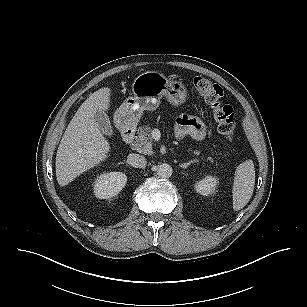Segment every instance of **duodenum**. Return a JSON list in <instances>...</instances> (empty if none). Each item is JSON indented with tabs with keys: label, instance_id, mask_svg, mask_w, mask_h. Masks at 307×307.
Here are the masks:
<instances>
[{
	"label": "duodenum",
	"instance_id": "obj_1",
	"mask_svg": "<svg viewBox=\"0 0 307 307\" xmlns=\"http://www.w3.org/2000/svg\"><path fill=\"white\" fill-rule=\"evenodd\" d=\"M135 138V131L134 130H126L123 134V140L127 145L133 143Z\"/></svg>",
	"mask_w": 307,
	"mask_h": 307
}]
</instances>
